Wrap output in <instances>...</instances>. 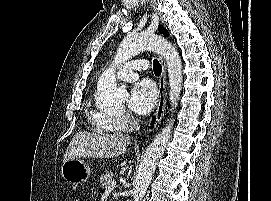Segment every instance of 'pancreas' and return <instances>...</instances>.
Returning <instances> with one entry per match:
<instances>
[{"label": "pancreas", "instance_id": "1", "mask_svg": "<svg viewBox=\"0 0 271 201\" xmlns=\"http://www.w3.org/2000/svg\"><path fill=\"white\" fill-rule=\"evenodd\" d=\"M113 176L114 175L111 171H106V173L100 178L102 186L107 188L111 184Z\"/></svg>", "mask_w": 271, "mask_h": 201}]
</instances>
